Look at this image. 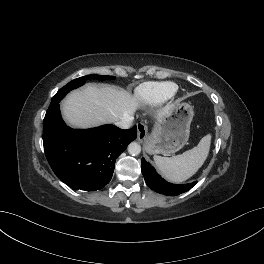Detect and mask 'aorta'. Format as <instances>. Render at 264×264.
Listing matches in <instances>:
<instances>
[{
    "label": "aorta",
    "mask_w": 264,
    "mask_h": 264,
    "mask_svg": "<svg viewBox=\"0 0 264 264\" xmlns=\"http://www.w3.org/2000/svg\"><path fill=\"white\" fill-rule=\"evenodd\" d=\"M128 152L132 156L139 155L141 152V146L137 142H131L128 146Z\"/></svg>",
    "instance_id": "1"
}]
</instances>
